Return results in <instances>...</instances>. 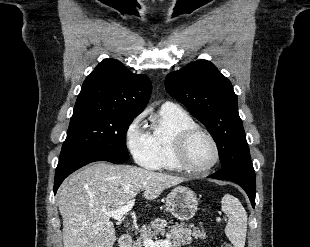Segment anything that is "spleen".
<instances>
[{
    "instance_id": "1",
    "label": "spleen",
    "mask_w": 310,
    "mask_h": 247,
    "mask_svg": "<svg viewBox=\"0 0 310 247\" xmlns=\"http://www.w3.org/2000/svg\"><path fill=\"white\" fill-rule=\"evenodd\" d=\"M222 211L228 216L225 234L234 247H244L247 232V213L241 202L230 194L221 201Z\"/></svg>"
}]
</instances>
